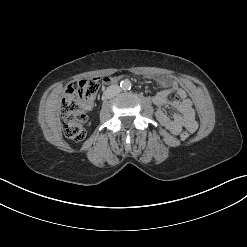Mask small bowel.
I'll return each instance as SVG.
<instances>
[{
  "label": "small bowel",
  "mask_w": 247,
  "mask_h": 247,
  "mask_svg": "<svg viewBox=\"0 0 247 247\" xmlns=\"http://www.w3.org/2000/svg\"><path fill=\"white\" fill-rule=\"evenodd\" d=\"M156 79L161 85L162 90L152 97V102L158 107L156 117L160 124L174 135H178L183 128L193 133L197 128L195 111L185 89L171 77L157 76ZM116 80V77H105L103 81L108 85L114 83ZM171 92L176 93L179 100L170 101L168 95ZM92 106V100L84 104L85 109H91ZM165 106H171L176 110L172 118L162 109Z\"/></svg>",
  "instance_id": "small-bowel-1"
}]
</instances>
